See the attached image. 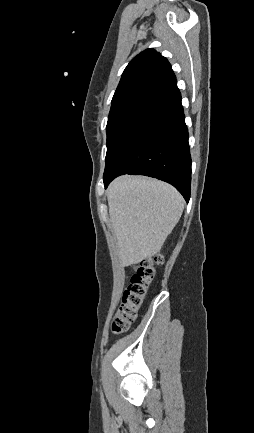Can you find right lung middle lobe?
Returning <instances> with one entry per match:
<instances>
[{
	"instance_id": "right-lung-middle-lobe-1",
	"label": "right lung middle lobe",
	"mask_w": 254,
	"mask_h": 433,
	"mask_svg": "<svg viewBox=\"0 0 254 433\" xmlns=\"http://www.w3.org/2000/svg\"><path fill=\"white\" fill-rule=\"evenodd\" d=\"M143 102H126L111 106L108 123L106 127L107 131V153L106 162L113 152L120 134L123 130L124 125L127 123L129 118L143 105Z\"/></svg>"
}]
</instances>
